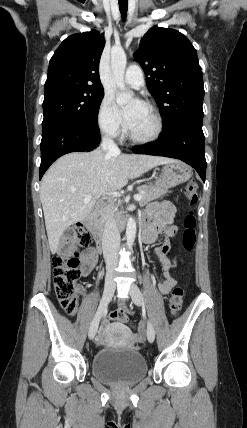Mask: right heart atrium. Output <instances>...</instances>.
Returning a JSON list of instances; mask_svg holds the SVG:
<instances>
[{
    "mask_svg": "<svg viewBox=\"0 0 247 428\" xmlns=\"http://www.w3.org/2000/svg\"><path fill=\"white\" fill-rule=\"evenodd\" d=\"M97 122L100 130L107 136L116 138L123 133L120 114L109 95H105L100 103Z\"/></svg>",
    "mask_w": 247,
    "mask_h": 428,
    "instance_id": "d8ad5b80",
    "label": "right heart atrium"
}]
</instances>
